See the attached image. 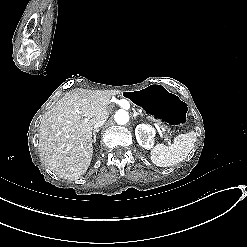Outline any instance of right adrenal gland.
<instances>
[{
  "instance_id": "obj_1",
  "label": "right adrenal gland",
  "mask_w": 247,
  "mask_h": 247,
  "mask_svg": "<svg viewBox=\"0 0 247 247\" xmlns=\"http://www.w3.org/2000/svg\"><path fill=\"white\" fill-rule=\"evenodd\" d=\"M99 130H94L93 131V137H94V143L96 142V133H98Z\"/></svg>"
}]
</instances>
